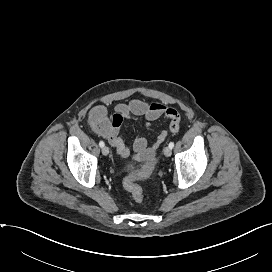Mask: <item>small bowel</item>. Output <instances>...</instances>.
I'll list each match as a JSON object with an SVG mask.
<instances>
[{"label":"small bowel","instance_id":"small-bowel-1","mask_svg":"<svg viewBox=\"0 0 272 272\" xmlns=\"http://www.w3.org/2000/svg\"><path fill=\"white\" fill-rule=\"evenodd\" d=\"M116 113L119 114L122 119L144 120L147 126H151L161 118H166L170 122L169 129L172 133H177L180 129V115L178 111L162 103H147L142 100L134 99L128 103L118 104ZM119 132L120 126L113 125H107L104 128L97 129V133L109 141L116 153L120 157L127 159L130 157V149L120 137ZM166 135V131H161L152 144L144 137H137L133 142L135 154L132 159L152 161L155 157L156 150L164 142Z\"/></svg>","mask_w":272,"mask_h":272}]
</instances>
